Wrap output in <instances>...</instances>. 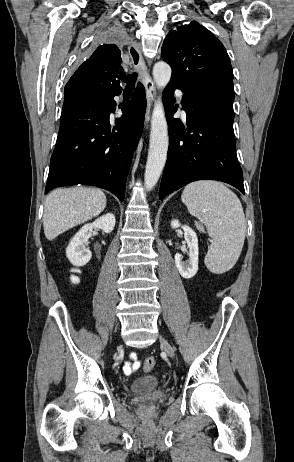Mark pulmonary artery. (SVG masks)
<instances>
[{
  "label": "pulmonary artery",
  "instance_id": "1",
  "mask_svg": "<svg viewBox=\"0 0 294 462\" xmlns=\"http://www.w3.org/2000/svg\"><path fill=\"white\" fill-rule=\"evenodd\" d=\"M176 95H177L178 100H179V101H182V95H183L182 92H181V91H177Z\"/></svg>",
  "mask_w": 294,
  "mask_h": 462
}]
</instances>
